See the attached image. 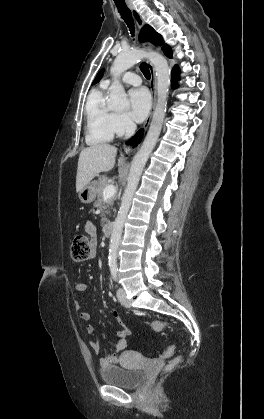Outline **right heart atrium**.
<instances>
[{
    "instance_id": "obj_1",
    "label": "right heart atrium",
    "mask_w": 264,
    "mask_h": 419,
    "mask_svg": "<svg viewBox=\"0 0 264 419\" xmlns=\"http://www.w3.org/2000/svg\"><path fill=\"white\" fill-rule=\"evenodd\" d=\"M135 125L127 113L116 112L112 116V129L116 135H124L134 130Z\"/></svg>"
}]
</instances>
